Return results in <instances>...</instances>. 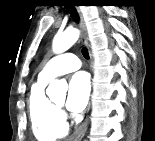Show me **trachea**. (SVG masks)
<instances>
[{
	"label": "trachea",
	"mask_w": 155,
	"mask_h": 141,
	"mask_svg": "<svg viewBox=\"0 0 155 141\" xmlns=\"http://www.w3.org/2000/svg\"><path fill=\"white\" fill-rule=\"evenodd\" d=\"M74 21H78L79 16L74 6H65ZM84 58L89 59V53L86 47L82 48Z\"/></svg>",
	"instance_id": "1"
}]
</instances>
